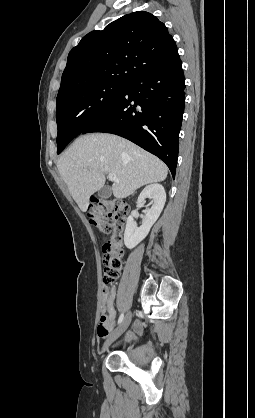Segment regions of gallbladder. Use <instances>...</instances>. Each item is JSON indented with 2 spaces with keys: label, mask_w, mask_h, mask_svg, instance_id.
Instances as JSON below:
<instances>
[{
  "label": "gallbladder",
  "mask_w": 255,
  "mask_h": 418,
  "mask_svg": "<svg viewBox=\"0 0 255 418\" xmlns=\"http://www.w3.org/2000/svg\"><path fill=\"white\" fill-rule=\"evenodd\" d=\"M112 194V189L110 186H103L100 190H99V197L103 198V199H107L111 196Z\"/></svg>",
  "instance_id": "gallbladder-1"
}]
</instances>
